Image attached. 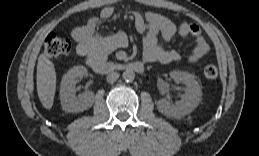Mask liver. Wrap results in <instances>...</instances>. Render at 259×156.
Wrapping results in <instances>:
<instances>
[{
  "mask_svg": "<svg viewBox=\"0 0 259 156\" xmlns=\"http://www.w3.org/2000/svg\"><path fill=\"white\" fill-rule=\"evenodd\" d=\"M36 84L40 102L44 108L51 109L56 91V72L45 54L38 57Z\"/></svg>",
  "mask_w": 259,
  "mask_h": 156,
  "instance_id": "liver-1",
  "label": "liver"
}]
</instances>
